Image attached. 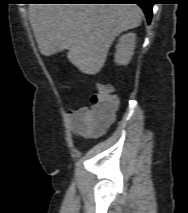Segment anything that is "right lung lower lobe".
<instances>
[{
	"label": "right lung lower lobe",
	"instance_id": "right-lung-lower-lobe-1",
	"mask_svg": "<svg viewBox=\"0 0 188 213\" xmlns=\"http://www.w3.org/2000/svg\"><path fill=\"white\" fill-rule=\"evenodd\" d=\"M49 1V0H46ZM67 3H135L138 4L144 11L148 23L152 17V7L154 2L152 0H67Z\"/></svg>",
	"mask_w": 188,
	"mask_h": 213
}]
</instances>
